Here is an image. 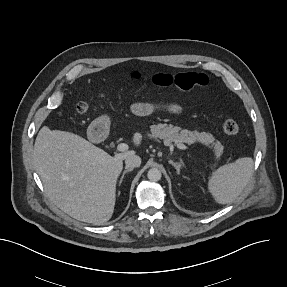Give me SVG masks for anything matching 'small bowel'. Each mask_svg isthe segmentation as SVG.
<instances>
[{
    "label": "small bowel",
    "mask_w": 287,
    "mask_h": 287,
    "mask_svg": "<svg viewBox=\"0 0 287 287\" xmlns=\"http://www.w3.org/2000/svg\"><path fill=\"white\" fill-rule=\"evenodd\" d=\"M167 107L174 114H180L181 112V108L176 104H169ZM131 109L135 115L144 116L149 114L154 109V105L147 102H137L132 105Z\"/></svg>",
    "instance_id": "small-bowel-1"
}]
</instances>
